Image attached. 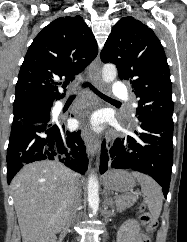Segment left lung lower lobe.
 <instances>
[{"mask_svg":"<svg viewBox=\"0 0 187 242\" xmlns=\"http://www.w3.org/2000/svg\"><path fill=\"white\" fill-rule=\"evenodd\" d=\"M133 136L117 138L101 147L100 173L108 168L131 169L151 176L167 198L173 165V124L140 121Z\"/></svg>","mask_w":187,"mask_h":242,"instance_id":"0a47b994","label":"left lung lower lobe"}]
</instances>
